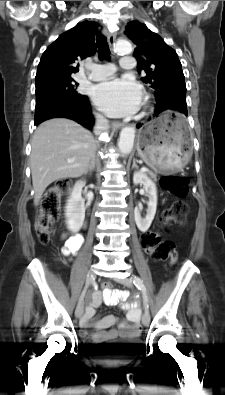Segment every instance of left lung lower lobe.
I'll return each mask as SVG.
<instances>
[{
    "instance_id": "1",
    "label": "left lung lower lobe",
    "mask_w": 225,
    "mask_h": 395,
    "mask_svg": "<svg viewBox=\"0 0 225 395\" xmlns=\"http://www.w3.org/2000/svg\"><path fill=\"white\" fill-rule=\"evenodd\" d=\"M155 107V115L165 111V110H174L183 115H188L187 107H185L184 102L179 99H171V100H156ZM142 124H138L137 127L140 128Z\"/></svg>"
}]
</instances>
